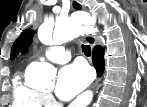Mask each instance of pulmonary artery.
Segmentation results:
<instances>
[{
  "instance_id": "pulmonary-artery-1",
  "label": "pulmonary artery",
  "mask_w": 147,
  "mask_h": 107,
  "mask_svg": "<svg viewBox=\"0 0 147 107\" xmlns=\"http://www.w3.org/2000/svg\"><path fill=\"white\" fill-rule=\"evenodd\" d=\"M45 56L52 62L63 64L70 60L71 54L63 47L51 46L48 47L45 52Z\"/></svg>"
}]
</instances>
